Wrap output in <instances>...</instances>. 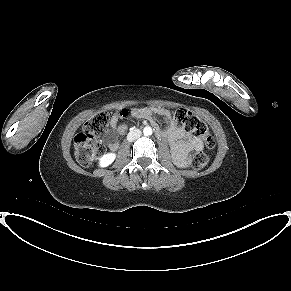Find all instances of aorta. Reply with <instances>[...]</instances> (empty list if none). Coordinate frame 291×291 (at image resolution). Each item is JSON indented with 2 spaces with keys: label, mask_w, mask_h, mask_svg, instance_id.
<instances>
[{
  "label": "aorta",
  "mask_w": 291,
  "mask_h": 291,
  "mask_svg": "<svg viewBox=\"0 0 291 291\" xmlns=\"http://www.w3.org/2000/svg\"><path fill=\"white\" fill-rule=\"evenodd\" d=\"M143 133H144V135H146V136H150V135H152V128L149 127V126H146V127L143 129Z\"/></svg>",
  "instance_id": "aorta-1"
}]
</instances>
